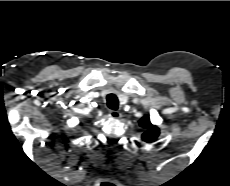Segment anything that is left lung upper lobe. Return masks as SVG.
<instances>
[{
  "mask_svg": "<svg viewBox=\"0 0 230 186\" xmlns=\"http://www.w3.org/2000/svg\"><path fill=\"white\" fill-rule=\"evenodd\" d=\"M140 126L145 130L142 134V139L146 142H152L159 136V129L157 126L153 125L150 122V119L147 116H144L139 121Z\"/></svg>",
  "mask_w": 230,
  "mask_h": 186,
  "instance_id": "left-lung-upper-lobe-1",
  "label": "left lung upper lobe"
}]
</instances>
